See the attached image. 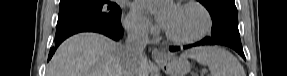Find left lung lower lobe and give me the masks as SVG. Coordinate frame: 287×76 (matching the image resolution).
<instances>
[{"label": "left lung lower lobe", "instance_id": "left-lung-lower-lobe-1", "mask_svg": "<svg viewBox=\"0 0 287 76\" xmlns=\"http://www.w3.org/2000/svg\"><path fill=\"white\" fill-rule=\"evenodd\" d=\"M216 44L217 45H225V46L233 48L236 52H238V54H240L245 59L244 52H243L241 44L227 43V42H224V41H221V40H217V39H215L213 37H206L203 40H201V41H199V42H197L195 44L184 46V48H189V47H192V46H199V45H216ZM169 50L172 51V52L178 51V50H180V47L172 46V47L169 48Z\"/></svg>", "mask_w": 287, "mask_h": 76}]
</instances>
